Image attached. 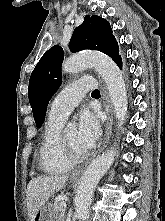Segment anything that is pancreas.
<instances>
[{
	"label": "pancreas",
	"instance_id": "obj_1",
	"mask_svg": "<svg viewBox=\"0 0 165 221\" xmlns=\"http://www.w3.org/2000/svg\"><path fill=\"white\" fill-rule=\"evenodd\" d=\"M53 211L57 216V221H63L64 219V214H65V210L64 208L61 206V202H55L53 204Z\"/></svg>",
	"mask_w": 165,
	"mask_h": 221
}]
</instances>
